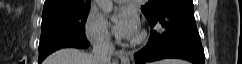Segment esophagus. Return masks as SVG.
Returning <instances> with one entry per match:
<instances>
[{"label":"esophagus","mask_w":242,"mask_h":64,"mask_svg":"<svg viewBox=\"0 0 242 64\" xmlns=\"http://www.w3.org/2000/svg\"><path fill=\"white\" fill-rule=\"evenodd\" d=\"M120 60H121L122 64H130V59H129V57L127 55H122L120 57Z\"/></svg>","instance_id":"34e87169"}]
</instances>
